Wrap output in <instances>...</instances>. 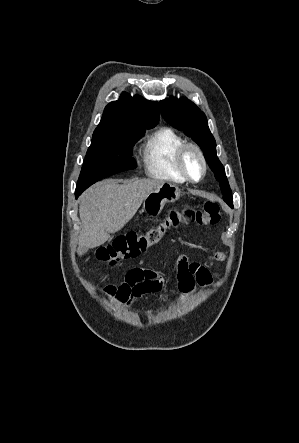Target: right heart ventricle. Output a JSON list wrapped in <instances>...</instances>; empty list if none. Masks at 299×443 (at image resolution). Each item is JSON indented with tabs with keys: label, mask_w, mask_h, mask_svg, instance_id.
<instances>
[{
	"label": "right heart ventricle",
	"mask_w": 299,
	"mask_h": 443,
	"mask_svg": "<svg viewBox=\"0 0 299 443\" xmlns=\"http://www.w3.org/2000/svg\"><path fill=\"white\" fill-rule=\"evenodd\" d=\"M185 143V138L170 127H163L151 134L143 148L146 173L161 180L185 182L177 167V153Z\"/></svg>",
	"instance_id": "obj_1"
}]
</instances>
